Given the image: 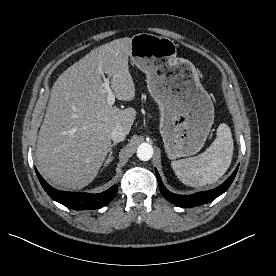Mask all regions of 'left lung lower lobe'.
Segmentation results:
<instances>
[{"instance_id": "left-lung-lower-lobe-1", "label": "left lung lower lobe", "mask_w": 276, "mask_h": 276, "mask_svg": "<svg viewBox=\"0 0 276 276\" xmlns=\"http://www.w3.org/2000/svg\"><path fill=\"white\" fill-rule=\"evenodd\" d=\"M238 167H239V165L236 167V169L234 170L232 175L223 184H221L217 188L209 190V191H205V192H199V193H196L193 195H187V196L176 195V194L169 192L164 187L157 170H156V176H157V180L159 183L160 191H161L162 195L167 200H169L170 202H172L173 204H175L179 207L190 208V207H195V206L209 203V202L213 201L215 198H217L218 196H220L221 194H223L229 188L231 183L233 182V180L236 176V173L238 171Z\"/></svg>"}]
</instances>
